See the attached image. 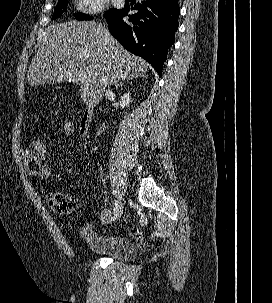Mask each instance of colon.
I'll return each instance as SVG.
<instances>
[{"mask_svg":"<svg viewBox=\"0 0 272 303\" xmlns=\"http://www.w3.org/2000/svg\"><path fill=\"white\" fill-rule=\"evenodd\" d=\"M65 131L67 134L70 133L71 128L69 124H66ZM30 145L35 169L41 173L50 171L47 161L48 150L45 142L39 138H36L30 142ZM47 200L51 209L61 215L74 212L78 206L74 197L60 192L50 193L47 196Z\"/></svg>","mask_w":272,"mask_h":303,"instance_id":"colon-1","label":"colon"}]
</instances>
